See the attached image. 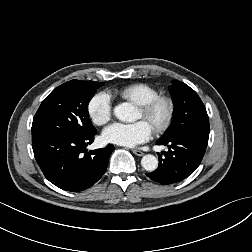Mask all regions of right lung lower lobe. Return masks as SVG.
Listing matches in <instances>:
<instances>
[{"label":"right lung lower lobe","mask_w":252,"mask_h":252,"mask_svg":"<svg viewBox=\"0 0 252 252\" xmlns=\"http://www.w3.org/2000/svg\"><path fill=\"white\" fill-rule=\"evenodd\" d=\"M95 134L32 137L34 156L45 177L57 187L72 192L85 190L96 183L105 173L115 148L109 144L106 148L87 152L85 147L94 141Z\"/></svg>","instance_id":"right-lung-lower-lobe-1"}]
</instances>
